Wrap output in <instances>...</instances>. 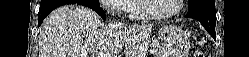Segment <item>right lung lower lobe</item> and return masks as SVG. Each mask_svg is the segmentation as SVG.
Wrapping results in <instances>:
<instances>
[{
  "mask_svg": "<svg viewBox=\"0 0 249 57\" xmlns=\"http://www.w3.org/2000/svg\"><path fill=\"white\" fill-rule=\"evenodd\" d=\"M65 4H80L87 6L94 11H96L103 19H106L105 12L102 8L98 6H93L86 3L84 0H41L40 9H39V25L43 22L44 18L55 8L65 5Z\"/></svg>",
  "mask_w": 249,
  "mask_h": 57,
  "instance_id": "obj_1",
  "label": "right lung lower lobe"
}]
</instances>
